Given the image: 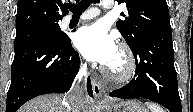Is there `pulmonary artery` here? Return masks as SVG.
<instances>
[{
	"label": "pulmonary artery",
	"mask_w": 193,
	"mask_h": 112,
	"mask_svg": "<svg viewBox=\"0 0 193 112\" xmlns=\"http://www.w3.org/2000/svg\"><path fill=\"white\" fill-rule=\"evenodd\" d=\"M104 7L106 9H112L114 7V3L113 1L111 0H106L104 2ZM100 14V11L96 8H91V9H88L87 11H85L84 13H82L80 16H79V20H88V19H92L96 16H98ZM72 20V17L69 16L65 19V24H69Z\"/></svg>",
	"instance_id": "e3ab8cb5"
}]
</instances>
